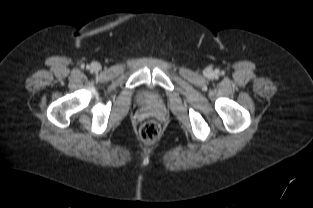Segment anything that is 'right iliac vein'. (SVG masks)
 I'll list each match as a JSON object with an SVG mask.
<instances>
[{"label":"right iliac vein","mask_w":313,"mask_h":208,"mask_svg":"<svg viewBox=\"0 0 313 208\" xmlns=\"http://www.w3.org/2000/svg\"><path fill=\"white\" fill-rule=\"evenodd\" d=\"M100 69H101V66H100L99 63L94 62V63L91 64V70L99 71Z\"/></svg>","instance_id":"1"}]
</instances>
